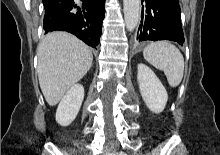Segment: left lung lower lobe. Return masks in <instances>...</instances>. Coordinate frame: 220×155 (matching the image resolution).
Wrapping results in <instances>:
<instances>
[{"mask_svg":"<svg viewBox=\"0 0 220 155\" xmlns=\"http://www.w3.org/2000/svg\"><path fill=\"white\" fill-rule=\"evenodd\" d=\"M141 24L137 40H172L184 43L178 0H142Z\"/></svg>","mask_w":220,"mask_h":155,"instance_id":"obj_1","label":"left lung lower lobe"}]
</instances>
